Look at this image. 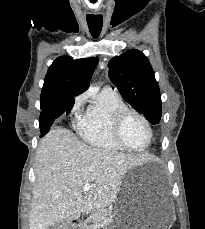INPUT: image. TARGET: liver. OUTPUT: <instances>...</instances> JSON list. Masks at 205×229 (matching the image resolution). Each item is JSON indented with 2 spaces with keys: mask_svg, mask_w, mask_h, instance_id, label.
Returning <instances> with one entry per match:
<instances>
[{
  "mask_svg": "<svg viewBox=\"0 0 205 229\" xmlns=\"http://www.w3.org/2000/svg\"><path fill=\"white\" fill-rule=\"evenodd\" d=\"M140 163L138 156L88 146L65 128L51 129L36 153L29 229H48L105 208L116 201L125 174ZM85 184L92 185L88 192Z\"/></svg>",
  "mask_w": 205,
  "mask_h": 229,
  "instance_id": "liver-1",
  "label": "liver"
}]
</instances>
